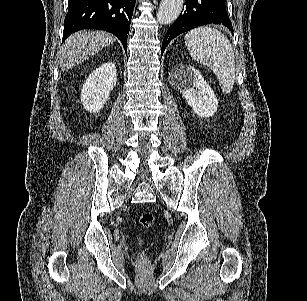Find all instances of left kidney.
Segmentation results:
<instances>
[{
    "mask_svg": "<svg viewBox=\"0 0 307 301\" xmlns=\"http://www.w3.org/2000/svg\"><path fill=\"white\" fill-rule=\"evenodd\" d=\"M172 74L175 88H179L193 112L198 116H213L218 100L199 70L191 64H177Z\"/></svg>",
    "mask_w": 307,
    "mask_h": 301,
    "instance_id": "1",
    "label": "left kidney"
}]
</instances>
